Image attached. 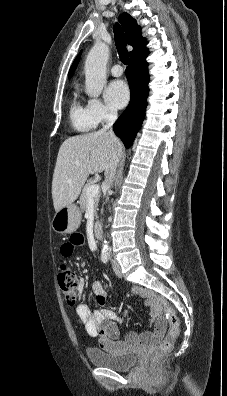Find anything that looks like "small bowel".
<instances>
[{
    "mask_svg": "<svg viewBox=\"0 0 227 396\" xmlns=\"http://www.w3.org/2000/svg\"><path fill=\"white\" fill-rule=\"evenodd\" d=\"M84 238L81 234H73L68 242L62 245L61 252L63 256H70L76 247L83 244ZM85 289L83 279L78 281V297H81ZM93 292L97 302L103 305L106 301V289L100 281H95L92 285ZM131 293L145 299L149 308V314L153 326L152 331H146L138 334L128 332L124 341H120V331L116 325L119 320L117 313L110 309H97L91 311L86 304H79L76 307L77 317L85 324L88 335L97 337L100 347L106 351H115L125 345H149L154 346L161 340L166 331V324L160 315V309L156 302L155 295L151 290L140 286H133Z\"/></svg>",
    "mask_w": 227,
    "mask_h": 396,
    "instance_id": "small-bowel-1",
    "label": "small bowel"
}]
</instances>
